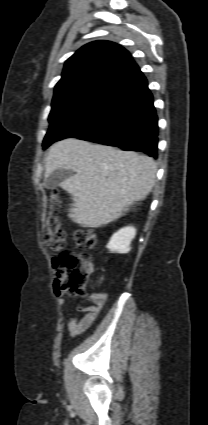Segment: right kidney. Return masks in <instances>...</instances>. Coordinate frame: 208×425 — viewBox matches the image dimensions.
<instances>
[{
  "label": "right kidney",
  "mask_w": 208,
  "mask_h": 425,
  "mask_svg": "<svg viewBox=\"0 0 208 425\" xmlns=\"http://www.w3.org/2000/svg\"><path fill=\"white\" fill-rule=\"evenodd\" d=\"M136 235V229L132 226L121 228L119 231L114 233L110 238L107 248L111 252L120 254L128 253L131 250V241Z\"/></svg>",
  "instance_id": "obj_1"
}]
</instances>
